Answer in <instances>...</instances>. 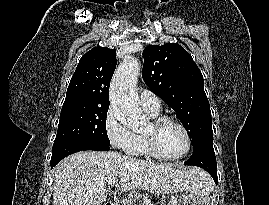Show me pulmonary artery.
I'll return each instance as SVG.
<instances>
[{"label":"pulmonary artery","mask_w":269,"mask_h":205,"mask_svg":"<svg viewBox=\"0 0 269 205\" xmlns=\"http://www.w3.org/2000/svg\"><path fill=\"white\" fill-rule=\"evenodd\" d=\"M141 105L145 111L157 113L160 110V99L149 90H143L140 94Z\"/></svg>","instance_id":"obj_1"}]
</instances>
